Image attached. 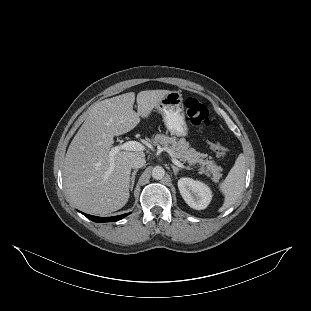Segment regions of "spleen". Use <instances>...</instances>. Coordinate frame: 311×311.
<instances>
[{
    "label": "spleen",
    "mask_w": 311,
    "mask_h": 311,
    "mask_svg": "<svg viewBox=\"0 0 311 311\" xmlns=\"http://www.w3.org/2000/svg\"><path fill=\"white\" fill-rule=\"evenodd\" d=\"M246 176V159L243 153L236 158L233 167L226 178L217 183V188L224 197L222 206L218 212H222L233 205L243 192ZM207 186H214L213 183L205 181Z\"/></svg>",
    "instance_id": "3e777b00"
}]
</instances>
